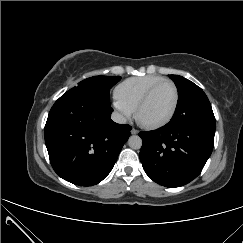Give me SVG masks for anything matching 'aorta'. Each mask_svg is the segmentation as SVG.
I'll use <instances>...</instances> for the list:
<instances>
[{
    "label": "aorta",
    "mask_w": 243,
    "mask_h": 243,
    "mask_svg": "<svg viewBox=\"0 0 243 243\" xmlns=\"http://www.w3.org/2000/svg\"><path fill=\"white\" fill-rule=\"evenodd\" d=\"M128 145L132 149H140L142 147V139L137 135H132L128 139Z\"/></svg>",
    "instance_id": "1"
}]
</instances>
